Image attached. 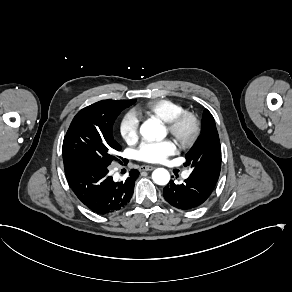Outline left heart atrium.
Returning <instances> with one entry per match:
<instances>
[{
	"mask_svg": "<svg viewBox=\"0 0 292 292\" xmlns=\"http://www.w3.org/2000/svg\"><path fill=\"white\" fill-rule=\"evenodd\" d=\"M177 152V145L172 140L144 142L137 151V157L148 163L164 162Z\"/></svg>",
	"mask_w": 292,
	"mask_h": 292,
	"instance_id": "39dd6f15",
	"label": "left heart atrium"
}]
</instances>
